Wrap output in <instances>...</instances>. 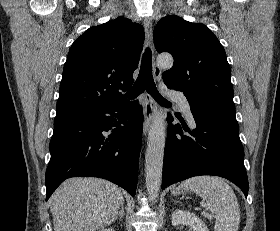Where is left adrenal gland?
Wrapping results in <instances>:
<instances>
[{"label":"left adrenal gland","instance_id":"obj_1","mask_svg":"<svg viewBox=\"0 0 280 231\" xmlns=\"http://www.w3.org/2000/svg\"><path fill=\"white\" fill-rule=\"evenodd\" d=\"M176 203H182V201H176Z\"/></svg>","mask_w":280,"mask_h":231}]
</instances>
